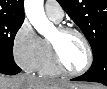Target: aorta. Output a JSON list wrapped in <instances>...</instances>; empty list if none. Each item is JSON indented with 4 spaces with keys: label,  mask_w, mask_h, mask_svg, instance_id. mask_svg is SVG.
<instances>
[{
    "label": "aorta",
    "mask_w": 107,
    "mask_h": 89,
    "mask_svg": "<svg viewBox=\"0 0 107 89\" xmlns=\"http://www.w3.org/2000/svg\"><path fill=\"white\" fill-rule=\"evenodd\" d=\"M25 14L39 34L48 37L55 31V26L44 12L43 0H25Z\"/></svg>",
    "instance_id": "obj_1"
}]
</instances>
